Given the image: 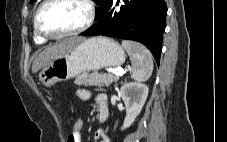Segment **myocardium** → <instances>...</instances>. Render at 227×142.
<instances>
[{
	"label": "myocardium",
	"instance_id": "f54148a6",
	"mask_svg": "<svg viewBox=\"0 0 227 142\" xmlns=\"http://www.w3.org/2000/svg\"><path fill=\"white\" fill-rule=\"evenodd\" d=\"M54 1H56V0H44L36 11V14L34 17V27H35L36 33L39 36H41L43 38H49V39H60V38L73 36V35L82 33L83 31L87 30L93 24L95 17H96V5H95L94 1L93 0H80L87 8L86 21L80 27H78L72 31L59 33V34L47 33L41 27L40 16H41V13L44 10V8Z\"/></svg>",
	"mask_w": 227,
	"mask_h": 142
}]
</instances>
